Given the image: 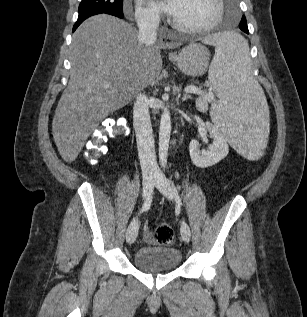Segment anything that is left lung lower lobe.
Wrapping results in <instances>:
<instances>
[{"label":"left lung lower lobe","mask_w":307,"mask_h":317,"mask_svg":"<svg viewBox=\"0 0 307 317\" xmlns=\"http://www.w3.org/2000/svg\"><path fill=\"white\" fill-rule=\"evenodd\" d=\"M244 17H245V16H244ZM239 28H240L243 32L249 34L248 27H247V22H246L244 19L240 22Z\"/></svg>","instance_id":"0a47b994"}]
</instances>
